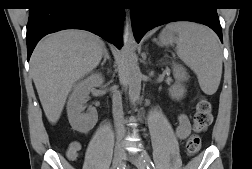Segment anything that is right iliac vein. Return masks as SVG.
Listing matches in <instances>:
<instances>
[{"mask_svg":"<svg viewBox=\"0 0 252 169\" xmlns=\"http://www.w3.org/2000/svg\"><path fill=\"white\" fill-rule=\"evenodd\" d=\"M123 158H124L123 145L118 144V145H116L115 150H114L113 166L116 168L118 165H120Z\"/></svg>","mask_w":252,"mask_h":169,"instance_id":"63e3f726","label":"right iliac vein"}]
</instances>
